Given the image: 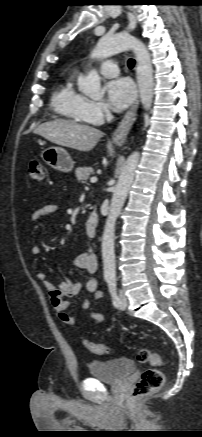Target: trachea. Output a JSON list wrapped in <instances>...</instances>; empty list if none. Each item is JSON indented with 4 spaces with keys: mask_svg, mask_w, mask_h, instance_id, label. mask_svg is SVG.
<instances>
[{
    "mask_svg": "<svg viewBox=\"0 0 202 437\" xmlns=\"http://www.w3.org/2000/svg\"><path fill=\"white\" fill-rule=\"evenodd\" d=\"M134 65H135V60H134V59H132V58H131V59H129V60H128V67H129V68H133V67H134Z\"/></svg>",
    "mask_w": 202,
    "mask_h": 437,
    "instance_id": "trachea-1",
    "label": "trachea"
}]
</instances>
